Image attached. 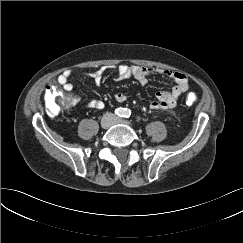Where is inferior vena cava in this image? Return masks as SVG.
Wrapping results in <instances>:
<instances>
[{
    "label": "inferior vena cava",
    "instance_id": "obj_1",
    "mask_svg": "<svg viewBox=\"0 0 243 243\" xmlns=\"http://www.w3.org/2000/svg\"><path fill=\"white\" fill-rule=\"evenodd\" d=\"M112 117H114V115L113 114H110Z\"/></svg>",
    "mask_w": 243,
    "mask_h": 243
}]
</instances>
